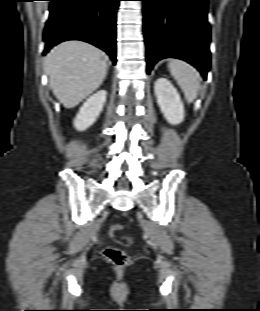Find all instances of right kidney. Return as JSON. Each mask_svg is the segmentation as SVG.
Masks as SVG:
<instances>
[{"label":"right kidney","mask_w":260,"mask_h":311,"mask_svg":"<svg viewBox=\"0 0 260 311\" xmlns=\"http://www.w3.org/2000/svg\"><path fill=\"white\" fill-rule=\"evenodd\" d=\"M106 96L107 92L100 90L84 102L73 122L78 131L86 130L96 121L103 109Z\"/></svg>","instance_id":"ca27d5eb"}]
</instances>
